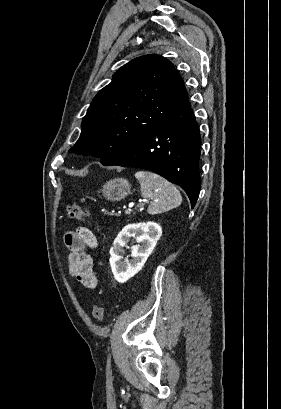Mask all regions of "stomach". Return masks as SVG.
<instances>
[{"label": "stomach", "mask_w": 281, "mask_h": 409, "mask_svg": "<svg viewBox=\"0 0 281 409\" xmlns=\"http://www.w3.org/2000/svg\"><path fill=\"white\" fill-rule=\"evenodd\" d=\"M103 196L108 200H122L131 192V184L127 178H111L101 188Z\"/></svg>", "instance_id": "stomach-1"}]
</instances>
